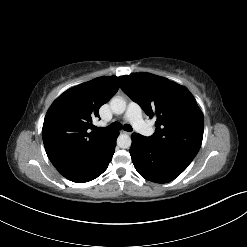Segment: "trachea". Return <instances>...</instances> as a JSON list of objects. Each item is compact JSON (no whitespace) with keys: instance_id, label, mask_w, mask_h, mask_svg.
<instances>
[{"instance_id":"obj_1","label":"trachea","mask_w":247,"mask_h":247,"mask_svg":"<svg viewBox=\"0 0 247 247\" xmlns=\"http://www.w3.org/2000/svg\"><path fill=\"white\" fill-rule=\"evenodd\" d=\"M122 128V125L120 123H113L108 127L105 128H100V131H117L120 130ZM123 130L125 131H132V127L129 124H126L125 126H123Z\"/></svg>"}]
</instances>
